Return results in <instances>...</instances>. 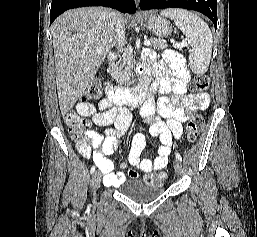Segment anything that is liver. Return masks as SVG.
<instances>
[{
  "mask_svg": "<svg viewBox=\"0 0 257 237\" xmlns=\"http://www.w3.org/2000/svg\"><path fill=\"white\" fill-rule=\"evenodd\" d=\"M119 18L125 31L127 18L122 14ZM51 32L59 106L66 115L119 43L110 11L103 7L66 11L55 20Z\"/></svg>",
  "mask_w": 257,
  "mask_h": 237,
  "instance_id": "1",
  "label": "liver"
}]
</instances>
